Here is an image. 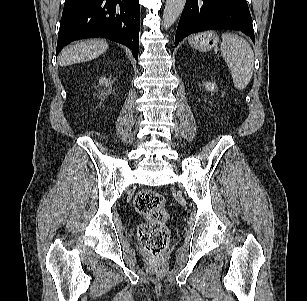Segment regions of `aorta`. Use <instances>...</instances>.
Listing matches in <instances>:
<instances>
[{"mask_svg": "<svg viewBox=\"0 0 307 301\" xmlns=\"http://www.w3.org/2000/svg\"><path fill=\"white\" fill-rule=\"evenodd\" d=\"M186 0H167L162 17V25L165 29L171 27L181 15Z\"/></svg>", "mask_w": 307, "mask_h": 301, "instance_id": "obj_1", "label": "aorta"}]
</instances>
